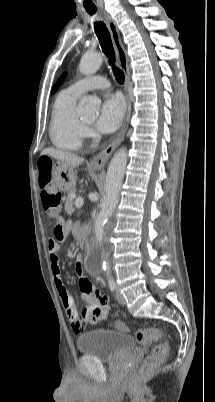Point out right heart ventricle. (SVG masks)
<instances>
[{
	"mask_svg": "<svg viewBox=\"0 0 215 402\" xmlns=\"http://www.w3.org/2000/svg\"><path fill=\"white\" fill-rule=\"evenodd\" d=\"M78 98V94L64 89L53 104L49 135L52 143L63 150H78L83 143L84 125L76 114Z\"/></svg>",
	"mask_w": 215,
	"mask_h": 402,
	"instance_id": "e07e8e85",
	"label": "right heart ventricle"
}]
</instances>
